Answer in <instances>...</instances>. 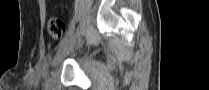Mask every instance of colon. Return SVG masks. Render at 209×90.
Masks as SVG:
<instances>
[{
  "label": "colon",
  "mask_w": 209,
  "mask_h": 90,
  "mask_svg": "<svg viewBox=\"0 0 209 90\" xmlns=\"http://www.w3.org/2000/svg\"><path fill=\"white\" fill-rule=\"evenodd\" d=\"M48 30L52 38L59 40L65 34V24L59 17H52L48 22Z\"/></svg>",
  "instance_id": "5ec220e1"
}]
</instances>
